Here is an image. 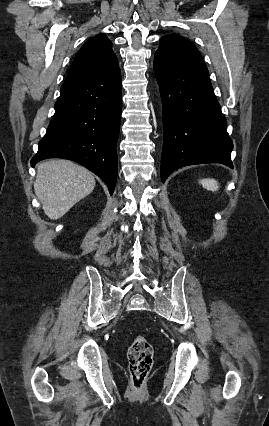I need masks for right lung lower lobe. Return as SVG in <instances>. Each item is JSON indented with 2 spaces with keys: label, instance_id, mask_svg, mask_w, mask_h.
<instances>
[{
  "label": "right lung lower lobe",
  "instance_id": "1",
  "mask_svg": "<svg viewBox=\"0 0 269 426\" xmlns=\"http://www.w3.org/2000/svg\"><path fill=\"white\" fill-rule=\"evenodd\" d=\"M121 110L120 68L101 77L65 82L31 165L47 158L75 161L98 175L112 195Z\"/></svg>",
  "mask_w": 269,
  "mask_h": 426
}]
</instances>
